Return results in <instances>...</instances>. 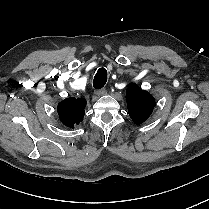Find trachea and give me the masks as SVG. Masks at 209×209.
<instances>
[{"instance_id": "obj_1", "label": "trachea", "mask_w": 209, "mask_h": 209, "mask_svg": "<svg viewBox=\"0 0 209 209\" xmlns=\"http://www.w3.org/2000/svg\"><path fill=\"white\" fill-rule=\"evenodd\" d=\"M107 82V70L105 68H99L94 80H93V87L95 89H101Z\"/></svg>"}]
</instances>
